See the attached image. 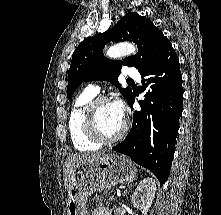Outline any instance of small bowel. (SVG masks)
I'll return each instance as SVG.
<instances>
[{"mask_svg":"<svg viewBox=\"0 0 221 215\" xmlns=\"http://www.w3.org/2000/svg\"><path fill=\"white\" fill-rule=\"evenodd\" d=\"M92 215H110L106 208H97L93 211Z\"/></svg>","mask_w":221,"mask_h":215,"instance_id":"obj_1","label":"small bowel"}]
</instances>
